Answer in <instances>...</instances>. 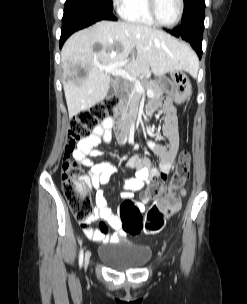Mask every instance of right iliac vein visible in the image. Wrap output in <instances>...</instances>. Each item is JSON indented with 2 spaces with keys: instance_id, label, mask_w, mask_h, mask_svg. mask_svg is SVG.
Wrapping results in <instances>:
<instances>
[{
  "instance_id": "right-iliac-vein-1",
  "label": "right iliac vein",
  "mask_w": 247,
  "mask_h": 304,
  "mask_svg": "<svg viewBox=\"0 0 247 304\" xmlns=\"http://www.w3.org/2000/svg\"><path fill=\"white\" fill-rule=\"evenodd\" d=\"M89 259H90V253L86 252V254H85V266H87V264L89 262Z\"/></svg>"
}]
</instances>
